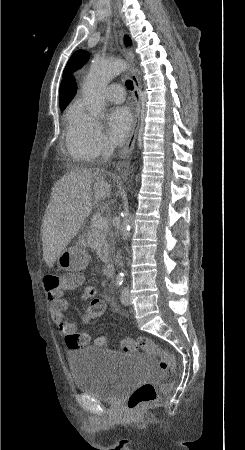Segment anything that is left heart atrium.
<instances>
[{"mask_svg": "<svg viewBox=\"0 0 245 450\" xmlns=\"http://www.w3.org/2000/svg\"><path fill=\"white\" fill-rule=\"evenodd\" d=\"M132 113L126 106H117L107 114V127L110 141L115 145L122 144L132 126Z\"/></svg>", "mask_w": 245, "mask_h": 450, "instance_id": "obj_1", "label": "left heart atrium"}]
</instances>
